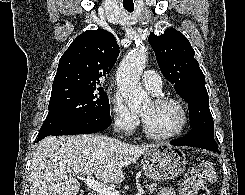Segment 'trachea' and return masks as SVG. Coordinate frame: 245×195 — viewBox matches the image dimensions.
<instances>
[{
  "instance_id": "1",
  "label": "trachea",
  "mask_w": 245,
  "mask_h": 195,
  "mask_svg": "<svg viewBox=\"0 0 245 195\" xmlns=\"http://www.w3.org/2000/svg\"><path fill=\"white\" fill-rule=\"evenodd\" d=\"M128 12H133L134 11V8L132 7V8H125Z\"/></svg>"
}]
</instances>
